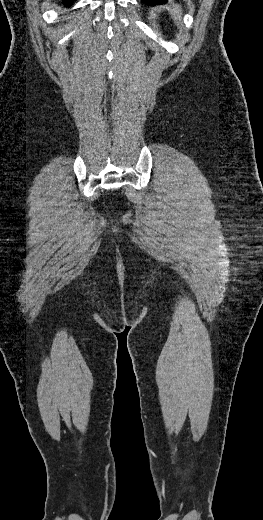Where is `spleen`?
Returning <instances> with one entry per match:
<instances>
[{
    "instance_id": "spleen-1",
    "label": "spleen",
    "mask_w": 263,
    "mask_h": 520,
    "mask_svg": "<svg viewBox=\"0 0 263 520\" xmlns=\"http://www.w3.org/2000/svg\"><path fill=\"white\" fill-rule=\"evenodd\" d=\"M174 18L178 21L181 20V9L177 5H173V8H168Z\"/></svg>"
}]
</instances>
